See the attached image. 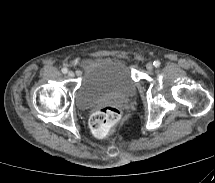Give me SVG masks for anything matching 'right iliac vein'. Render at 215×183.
Masks as SVG:
<instances>
[{"instance_id":"obj_1","label":"right iliac vein","mask_w":215,"mask_h":183,"mask_svg":"<svg viewBox=\"0 0 215 183\" xmlns=\"http://www.w3.org/2000/svg\"><path fill=\"white\" fill-rule=\"evenodd\" d=\"M67 75H68V77H70V78H73V77L75 76V74H74L73 71H69Z\"/></svg>"}]
</instances>
